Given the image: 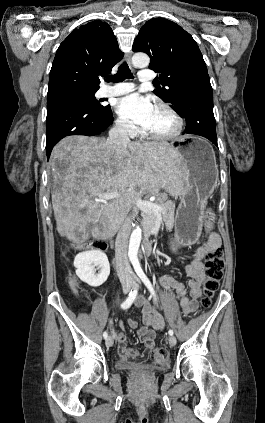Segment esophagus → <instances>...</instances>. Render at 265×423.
<instances>
[{"label":"esophagus","instance_id":"obj_1","mask_svg":"<svg viewBox=\"0 0 265 423\" xmlns=\"http://www.w3.org/2000/svg\"><path fill=\"white\" fill-rule=\"evenodd\" d=\"M126 61L130 67H132V52L126 54Z\"/></svg>","mask_w":265,"mask_h":423}]
</instances>
